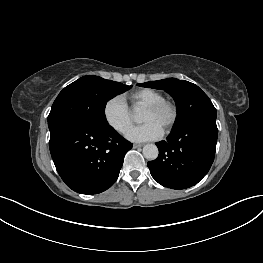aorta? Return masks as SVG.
<instances>
[{
	"mask_svg": "<svg viewBox=\"0 0 263 263\" xmlns=\"http://www.w3.org/2000/svg\"><path fill=\"white\" fill-rule=\"evenodd\" d=\"M158 154L159 151L155 144H146L143 147V155L148 160H155L158 157Z\"/></svg>",
	"mask_w": 263,
	"mask_h": 263,
	"instance_id": "obj_1",
	"label": "aorta"
}]
</instances>
